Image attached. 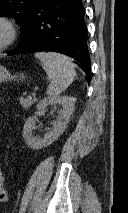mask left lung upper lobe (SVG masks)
<instances>
[{
  "mask_svg": "<svg viewBox=\"0 0 128 213\" xmlns=\"http://www.w3.org/2000/svg\"><path fill=\"white\" fill-rule=\"evenodd\" d=\"M37 2L38 0H0V16L14 18L23 31L32 18Z\"/></svg>",
  "mask_w": 128,
  "mask_h": 213,
  "instance_id": "left-lung-upper-lobe-1",
  "label": "left lung upper lobe"
}]
</instances>
